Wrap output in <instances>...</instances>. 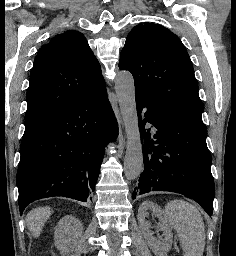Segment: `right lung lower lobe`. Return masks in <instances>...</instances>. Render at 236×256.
Wrapping results in <instances>:
<instances>
[{
	"mask_svg": "<svg viewBox=\"0 0 236 256\" xmlns=\"http://www.w3.org/2000/svg\"><path fill=\"white\" fill-rule=\"evenodd\" d=\"M117 133L106 88L25 131L17 172L20 214L29 203L47 197L87 201L104 148Z\"/></svg>",
	"mask_w": 236,
	"mask_h": 256,
	"instance_id": "98d812e1",
	"label": "right lung lower lobe"
}]
</instances>
